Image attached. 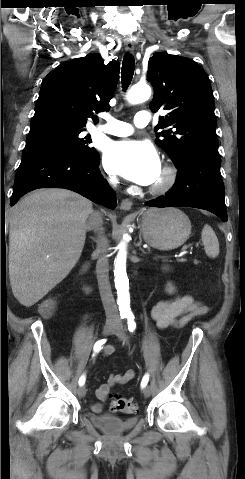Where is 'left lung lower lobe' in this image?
Masks as SVG:
<instances>
[{
	"label": "left lung lower lobe",
	"instance_id": "1",
	"mask_svg": "<svg viewBox=\"0 0 245 479\" xmlns=\"http://www.w3.org/2000/svg\"><path fill=\"white\" fill-rule=\"evenodd\" d=\"M173 188L164 196L148 201L150 207L186 206L208 210L227 221L224 184L218 152H201L186 158L178 167Z\"/></svg>",
	"mask_w": 245,
	"mask_h": 479
}]
</instances>
